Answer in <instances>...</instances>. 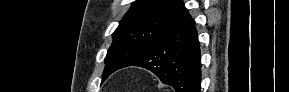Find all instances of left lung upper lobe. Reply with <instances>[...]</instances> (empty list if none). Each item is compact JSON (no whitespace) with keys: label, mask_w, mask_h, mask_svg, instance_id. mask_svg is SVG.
Returning a JSON list of instances; mask_svg holds the SVG:
<instances>
[{"label":"left lung upper lobe","mask_w":289,"mask_h":92,"mask_svg":"<svg viewBox=\"0 0 289 92\" xmlns=\"http://www.w3.org/2000/svg\"><path fill=\"white\" fill-rule=\"evenodd\" d=\"M187 9L181 0H137L113 32L102 81L142 53Z\"/></svg>","instance_id":"obj_1"}]
</instances>
